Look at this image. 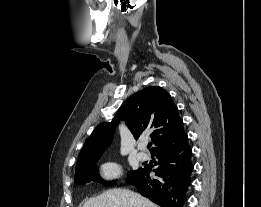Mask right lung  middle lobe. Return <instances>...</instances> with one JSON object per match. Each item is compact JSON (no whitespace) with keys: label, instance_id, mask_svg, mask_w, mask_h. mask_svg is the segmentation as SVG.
<instances>
[{"label":"right lung middle lobe","instance_id":"obj_1","mask_svg":"<svg viewBox=\"0 0 261 207\" xmlns=\"http://www.w3.org/2000/svg\"><path fill=\"white\" fill-rule=\"evenodd\" d=\"M100 157L93 158L87 160L85 163L78 165L75 169V183L76 184H85L90 181H97L100 183H103L107 186H110L113 183H108L99 178L98 175V169L96 167V162L98 161ZM137 170L135 171H130L128 173V176H131L134 174Z\"/></svg>","mask_w":261,"mask_h":207}]
</instances>
